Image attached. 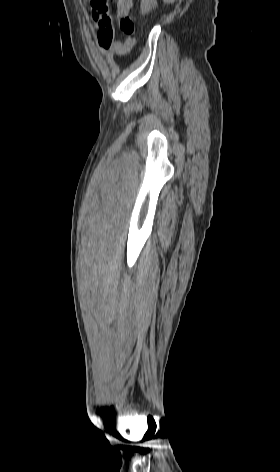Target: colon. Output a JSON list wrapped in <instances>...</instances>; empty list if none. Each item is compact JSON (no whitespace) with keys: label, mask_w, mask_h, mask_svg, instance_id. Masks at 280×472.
I'll use <instances>...</instances> for the list:
<instances>
[{"label":"colon","mask_w":280,"mask_h":472,"mask_svg":"<svg viewBox=\"0 0 280 472\" xmlns=\"http://www.w3.org/2000/svg\"><path fill=\"white\" fill-rule=\"evenodd\" d=\"M113 2L114 0H90L91 7L93 10V18L101 26H105L111 21L108 10L109 5ZM119 25L122 32L126 35V38L128 39V45L132 47L134 44L132 35L135 32L134 22L129 16H121L119 18Z\"/></svg>","instance_id":"obj_1"}]
</instances>
